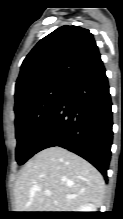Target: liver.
Here are the masks:
<instances>
[{"label": "liver", "mask_w": 123, "mask_h": 219, "mask_svg": "<svg viewBox=\"0 0 123 219\" xmlns=\"http://www.w3.org/2000/svg\"><path fill=\"white\" fill-rule=\"evenodd\" d=\"M46 190L50 196L45 195ZM104 194V179L94 166L64 148L50 147L23 167L14 187L15 210L77 212L88 203L101 206Z\"/></svg>", "instance_id": "liver-1"}]
</instances>
